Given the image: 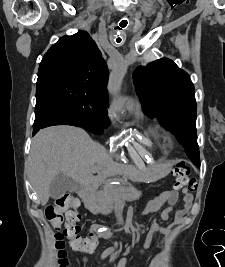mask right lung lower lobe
<instances>
[{"instance_id": "obj_1", "label": "right lung lower lobe", "mask_w": 225, "mask_h": 267, "mask_svg": "<svg viewBox=\"0 0 225 267\" xmlns=\"http://www.w3.org/2000/svg\"><path fill=\"white\" fill-rule=\"evenodd\" d=\"M53 125L81 127L78 121L44 92H36L35 121L33 136L42 128Z\"/></svg>"}]
</instances>
